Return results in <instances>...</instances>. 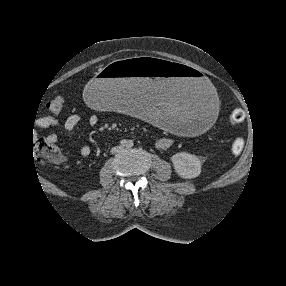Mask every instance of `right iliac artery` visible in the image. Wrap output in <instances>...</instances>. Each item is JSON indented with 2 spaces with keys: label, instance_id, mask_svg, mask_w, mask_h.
Returning a JSON list of instances; mask_svg holds the SVG:
<instances>
[{
  "label": "right iliac artery",
  "instance_id": "obj_1",
  "mask_svg": "<svg viewBox=\"0 0 286 286\" xmlns=\"http://www.w3.org/2000/svg\"><path fill=\"white\" fill-rule=\"evenodd\" d=\"M127 141L126 140H121V142H120V145L122 146V147H125V146H127Z\"/></svg>",
  "mask_w": 286,
  "mask_h": 286
}]
</instances>
